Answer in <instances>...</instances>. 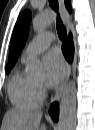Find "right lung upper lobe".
<instances>
[{"label": "right lung upper lobe", "mask_w": 95, "mask_h": 130, "mask_svg": "<svg viewBox=\"0 0 95 130\" xmlns=\"http://www.w3.org/2000/svg\"><path fill=\"white\" fill-rule=\"evenodd\" d=\"M65 4H66L67 9L71 12L70 0H65Z\"/></svg>", "instance_id": "cb5924a9"}]
</instances>
